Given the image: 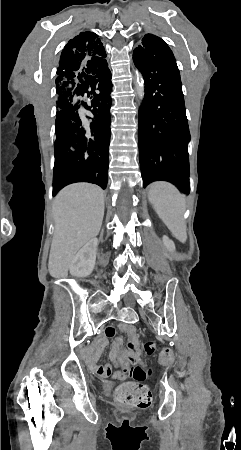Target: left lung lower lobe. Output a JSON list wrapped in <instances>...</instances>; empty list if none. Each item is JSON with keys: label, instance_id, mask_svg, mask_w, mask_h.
<instances>
[{"label": "left lung lower lobe", "instance_id": "obj_1", "mask_svg": "<svg viewBox=\"0 0 241 450\" xmlns=\"http://www.w3.org/2000/svg\"><path fill=\"white\" fill-rule=\"evenodd\" d=\"M145 82L139 110V152L143 186L168 181L189 194V127L179 70L168 45L159 51L134 50Z\"/></svg>", "mask_w": 241, "mask_h": 450}]
</instances>
